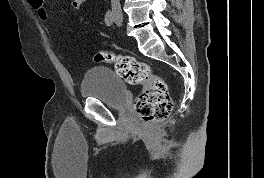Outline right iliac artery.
<instances>
[{
  "label": "right iliac artery",
  "mask_w": 264,
  "mask_h": 178,
  "mask_svg": "<svg viewBox=\"0 0 264 178\" xmlns=\"http://www.w3.org/2000/svg\"><path fill=\"white\" fill-rule=\"evenodd\" d=\"M105 23L107 26H111L113 24V14L112 12H107L105 15Z\"/></svg>",
  "instance_id": "right-iliac-artery-1"
}]
</instances>
